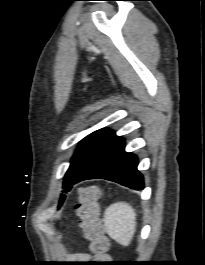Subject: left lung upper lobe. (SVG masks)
I'll use <instances>...</instances> for the list:
<instances>
[{"label":"left lung upper lobe","instance_id":"1","mask_svg":"<svg viewBox=\"0 0 205 265\" xmlns=\"http://www.w3.org/2000/svg\"><path fill=\"white\" fill-rule=\"evenodd\" d=\"M117 136L110 130H97L85 137L79 144L70 167L65 174L63 191H70L73 181L79 176L84 168L92 162ZM65 195L62 194L59 206L63 203Z\"/></svg>","mask_w":205,"mask_h":265}]
</instances>
